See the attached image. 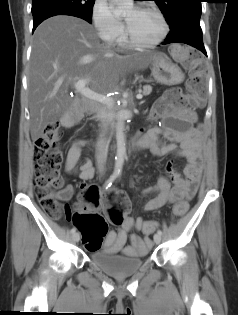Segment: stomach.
<instances>
[{
	"instance_id": "obj_1",
	"label": "stomach",
	"mask_w": 238,
	"mask_h": 315,
	"mask_svg": "<svg viewBox=\"0 0 238 315\" xmlns=\"http://www.w3.org/2000/svg\"><path fill=\"white\" fill-rule=\"evenodd\" d=\"M151 74L157 82L165 85L177 84L182 79L187 78V73L181 72L179 67L173 64L164 54H161L151 63ZM184 114L190 116L192 111L186 109Z\"/></svg>"
}]
</instances>
